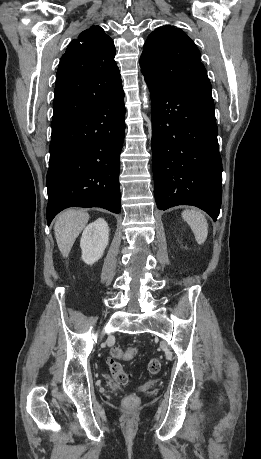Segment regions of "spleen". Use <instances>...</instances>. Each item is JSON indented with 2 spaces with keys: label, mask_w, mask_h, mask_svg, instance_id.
<instances>
[{
  "label": "spleen",
  "mask_w": 261,
  "mask_h": 459,
  "mask_svg": "<svg viewBox=\"0 0 261 459\" xmlns=\"http://www.w3.org/2000/svg\"><path fill=\"white\" fill-rule=\"evenodd\" d=\"M182 218L191 227L198 244H203L208 236V222L202 212L191 209L182 212Z\"/></svg>",
  "instance_id": "obj_1"
}]
</instances>
